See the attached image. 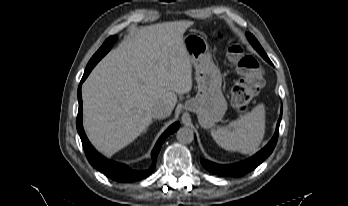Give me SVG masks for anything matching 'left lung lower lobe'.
I'll use <instances>...</instances> for the list:
<instances>
[{
  "instance_id": "obj_1",
  "label": "left lung lower lobe",
  "mask_w": 348,
  "mask_h": 206,
  "mask_svg": "<svg viewBox=\"0 0 348 206\" xmlns=\"http://www.w3.org/2000/svg\"><path fill=\"white\" fill-rule=\"evenodd\" d=\"M281 117H282V110H281L280 118L278 120L277 128L273 138L270 140L267 146H265L262 150H260L257 154H255L251 158L243 162L230 164V165H220V164H216V163L201 159V164L208 171L214 174L222 175V176L240 177L254 170L272 153L278 139Z\"/></svg>"
}]
</instances>
